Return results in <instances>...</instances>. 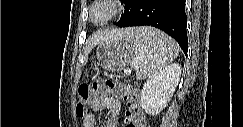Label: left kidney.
Here are the masks:
<instances>
[{"label":"left kidney","mask_w":243,"mask_h":127,"mask_svg":"<svg viewBox=\"0 0 243 127\" xmlns=\"http://www.w3.org/2000/svg\"><path fill=\"white\" fill-rule=\"evenodd\" d=\"M181 66L171 64L150 76L141 93V106L148 115L159 114L171 100L178 85Z\"/></svg>","instance_id":"obj_1"}]
</instances>
